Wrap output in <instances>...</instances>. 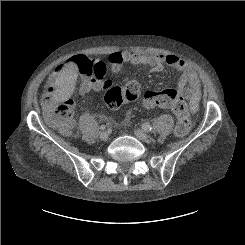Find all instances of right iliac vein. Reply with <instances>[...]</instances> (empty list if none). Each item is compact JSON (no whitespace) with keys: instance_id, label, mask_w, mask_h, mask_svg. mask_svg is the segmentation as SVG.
<instances>
[{"instance_id":"1","label":"right iliac vein","mask_w":245,"mask_h":245,"mask_svg":"<svg viewBox=\"0 0 245 245\" xmlns=\"http://www.w3.org/2000/svg\"><path fill=\"white\" fill-rule=\"evenodd\" d=\"M108 138H109V133H108V132L103 131V132L100 133V139H101V140L105 141V140H107Z\"/></svg>"}]
</instances>
